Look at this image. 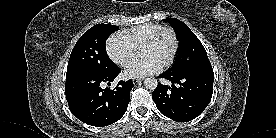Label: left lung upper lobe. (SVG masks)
I'll use <instances>...</instances> for the list:
<instances>
[{
  "label": "left lung upper lobe",
  "instance_id": "5c2ea615",
  "mask_svg": "<svg viewBox=\"0 0 276 138\" xmlns=\"http://www.w3.org/2000/svg\"><path fill=\"white\" fill-rule=\"evenodd\" d=\"M166 21L174 28L180 42L175 62L167 71L178 75L213 71L205 48L190 28L175 18Z\"/></svg>",
  "mask_w": 276,
  "mask_h": 138
}]
</instances>
